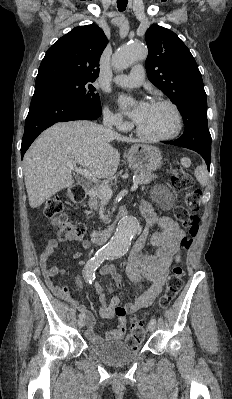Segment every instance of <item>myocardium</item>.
Returning a JSON list of instances; mask_svg holds the SVG:
<instances>
[{"label":"myocardium","mask_w":232,"mask_h":399,"mask_svg":"<svg viewBox=\"0 0 232 399\" xmlns=\"http://www.w3.org/2000/svg\"><path fill=\"white\" fill-rule=\"evenodd\" d=\"M149 104L150 105H167V106L171 107L172 110L174 111L175 119H176L175 128L170 134H167L164 136H159V137H152V136H148V135L144 134L135 123V124H133V129H134V133L137 135V137L143 141L150 142V143L165 142V141H169V140H172L175 137H177L183 128V117H182V113H181L179 107L175 103H173L169 100H163V99H152V100H150Z\"/></svg>","instance_id":"myocardium-1"}]
</instances>
